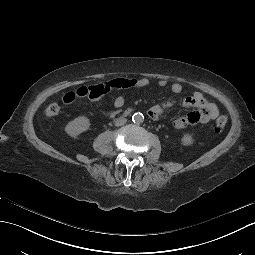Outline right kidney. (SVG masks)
I'll return each instance as SVG.
<instances>
[{"label":"right kidney","instance_id":"1","mask_svg":"<svg viewBox=\"0 0 255 255\" xmlns=\"http://www.w3.org/2000/svg\"><path fill=\"white\" fill-rule=\"evenodd\" d=\"M89 126H90L89 119L82 116L69 122L65 127V131L71 137H76L83 131H86L89 128Z\"/></svg>","mask_w":255,"mask_h":255}]
</instances>
